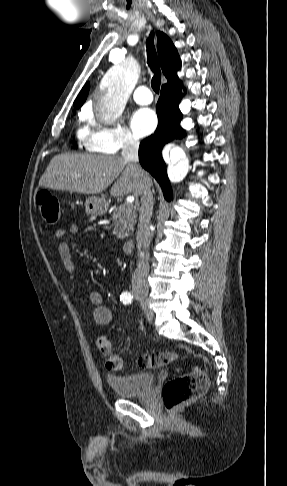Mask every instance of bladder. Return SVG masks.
I'll return each mask as SVG.
<instances>
[{
    "instance_id": "1",
    "label": "bladder",
    "mask_w": 287,
    "mask_h": 486,
    "mask_svg": "<svg viewBox=\"0 0 287 486\" xmlns=\"http://www.w3.org/2000/svg\"><path fill=\"white\" fill-rule=\"evenodd\" d=\"M106 382L118 396L128 398L148 393L155 383V375L152 373L108 375Z\"/></svg>"
}]
</instances>
